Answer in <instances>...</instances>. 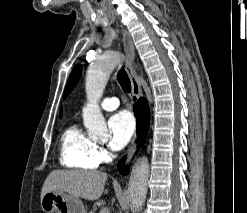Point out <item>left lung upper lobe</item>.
I'll list each match as a JSON object with an SVG mask.
<instances>
[{"label": "left lung upper lobe", "instance_id": "obj_1", "mask_svg": "<svg viewBox=\"0 0 247 213\" xmlns=\"http://www.w3.org/2000/svg\"><path fill=\"white\" fill-rule=\"evenodd\" d=\"M81 73H82V65L75 66L68 79V83L63 94L64 99L68 96V94L72 91V89L77 84L78 79L81 76Z\"/></svg>", "mask_w": 247, "mask_h": 213}]
</instances>
